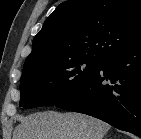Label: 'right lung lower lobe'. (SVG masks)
I'll return each instance as SVG.
<instances>
[{"mask_svg": "<svg viewBox=\"0 0 141 139\" xmlns=\"http://www.w3.org/2000/svg\"><path fill=\"white\" fill-rule=\"evenodd\" d=\"M55 106L96 117L141 138V42L105 57L83 87Z\"/></svg>", "mask_w": 141, "mask_h": 139, "instance_id": "98d812e1", "label": "right lung lower lobe"}]
</instances>
